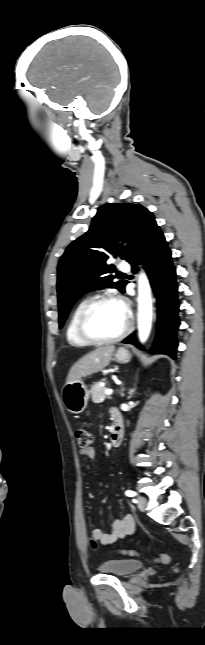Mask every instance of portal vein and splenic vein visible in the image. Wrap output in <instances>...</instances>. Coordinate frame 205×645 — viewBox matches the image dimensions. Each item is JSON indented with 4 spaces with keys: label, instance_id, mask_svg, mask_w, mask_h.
Wrapping results in <instances>:
<instances>
[{
    "label": "portal vein and splenic vein",
    "instance_id": "obj_1",
    "mask_svg": "<svg viewBox=\"0 0 205 645\" xmlns=\"http://www.w3.org/2000/svg\"><path fill=\"white\" fill-rule=\"evenodd\" d=\"M113 393L112 389H106L105 390V395H111Z\"/></svg>",
    "mask_w": 205,
    "mask_h": 645
}]
</instances>
